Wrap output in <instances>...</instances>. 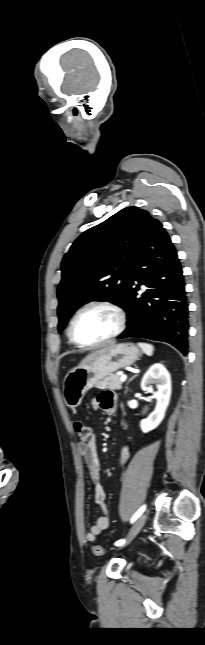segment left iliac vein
Wrapping results in <instances>:
<instances>
[{
    "mask_svg": "<svg viewBox=\"0 0 205 645\" xmlns=\"http://www.w3.org/2000/svg\"><path fill=\"white\" fill-rule=\"evenodd\" d=\"M146 519H147V515L143 514L136 520V522L134 523V525L130 530L127 541L123 545H121L120 548L126 546L132 541V539L139 533V531L144 526Z\"/></svg>",
    "mask_w": 205,
    "mask_h": 645,
    "instance_id": "1",
    "label": "left iliac vein"
}]
</instances>
